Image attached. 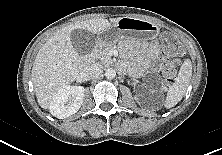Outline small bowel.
Wrapping results in <instances>:
<instances>
[{"label":"small bowel","instance_id":"c3829d8e","mask_svg":"<svg viewBox=\"0 0 222 155\" xmlns=\"http://www.w3.org/2000/svg\"><path fill=\"white\" fill-rule=\"evenodd\" d=\"M147 65L156 68L158 65V45L152 42L147 47Z\"/></svg>","mask_w":222,"mask_h":155}]
</instances>
